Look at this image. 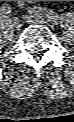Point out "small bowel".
I'll return each instance as SVG.
<instances>
[{
    "instance_id": "obj_1",
    "label": "small bowel",
    "mask_w": 74,
    "mask_h": 122,
    "mask_svg": "<svg viewBox=\"0 0 74 122\" xmlns=\"http://www.w3.org/2000/svg\"><path fill=\"white\" fill-rule=\"evenodd\" d=\"M23 3H25V1L21 2L20 5H23Z\"/></svg>"
}]
</instances>
